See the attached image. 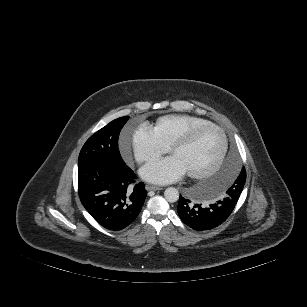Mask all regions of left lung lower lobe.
I'll return each mask as SVG.
<instances>
[{
    "instance_id": "0a47b994",
    "label": "left lung lower lobe",
    "mask_w": 307,
    "mask_h": 307,
    "mask_svg": "<svg viewBox=\"0 0 307 307\" xmlns=\"http://www.w3.org/2000/svg\"><path fill=\"white\" fill-rule=\"evenodd\" d=\"M238 199L234 195L227 194L214 204L201 206L202 204L193 205L189 199L180 195L178 214L190 228L197 231L210 230L222 224L230 216Z\"/></svg>"
}]
</instances>
